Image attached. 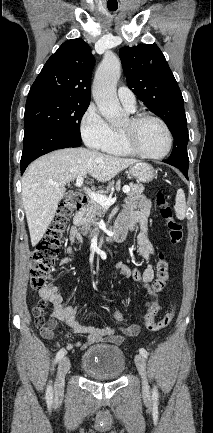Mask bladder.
Returning <instances> with one entry per match:
<instances>
[{
    "instance_id": "1",
    "label": "bladder",
    "mask_w": 213,
    "mask_h": 433,
    "mask_svg": "<svg viewBox=\"0 0 213 433\" xmlns=\"http://www.w3.org/2000/svg\"><path fill=\"white\" fill-rule=\"evenodd\" d=\"M122 349L115 345L97 344L87 349L81 358V370L94 379H116L125 371Z\"/></svg>"
}]
</instances>
